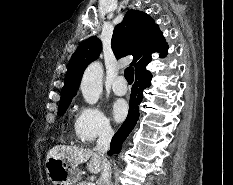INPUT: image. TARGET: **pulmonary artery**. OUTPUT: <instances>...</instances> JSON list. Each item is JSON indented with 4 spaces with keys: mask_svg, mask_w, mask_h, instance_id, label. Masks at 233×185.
Listing matches in <instances>:
<instances>
[{
    "mask_svg": "<svg viewBox=\"0 0 233 185\" xmlns=\"http://www.w3.org/2000/svg\"><path fill=\"white\" fill-rule=\"evenodd\" d=\"M113 91L117 95H124L127 92V85L123 76H118L112 85Z\"/></svg>",
    "mask_w": 233,
    "mask_h": 185,
    "instance_id": "obj_1",
    "label": "pulmonary artery"
}]
</instances>
